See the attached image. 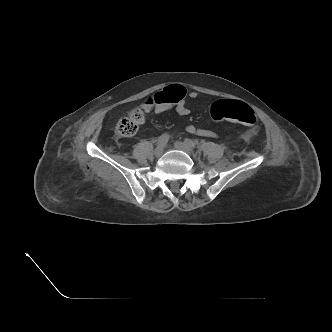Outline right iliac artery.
Returning <instances> with one entry per match:
<instances>
[{"label":"right iliac artery","mask_w":332,"mask_h":332,"mask_svg":"<svg viewBox=\"0 0 332 332\" xmlns=\"http://www.w3.org/2000/svg\"><path fill=\"white\" fill-rule=\"evenodd\" d=\"M169 140V135L168 134H162L159 138H158V141H157V144L158 145H166V143L168 142Z\"/></svg>","instance_id":"82829eb1"}]
</instances>
